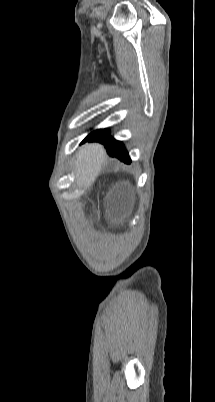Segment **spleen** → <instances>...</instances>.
Here are the masks:
<instances>
[{"mask_svg": "<svg viewBox=\"0 0 215 402\" xmlns=\"http://www.w3.org/2000/svg\"><path fill=\"white\" fill-rule=\"evenodd\" d=\"M83 163L84 165L77 166V173L82 174L81 180L83 182H88L90 180V175L92 173V168L97 171L100 162L103 159V153L98 148H95L94 143L84 144Z\"/></svg>", "mask_w": 215, "mask_h": 402, "instance_id": "obj_1", "label": "spleen"}]
</instances>
